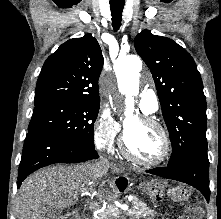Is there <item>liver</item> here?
Instances as JSON below:
<instances>
[{
	"instance_id": "obj_1",
	"label": "liver",
	"mask_w": 221,
	"mask_h": 219,
	"mask_svg": "<svg viewBox=\"0 0 221 219\" xmlns=\"http://www.w3.org/2000/svg\"><path fill=\"white\" fill-rule=\"evenodd\" d=\"M109 168L113 167L87 162L76 166H51L35 172L18 191V219H45L51 209L73 206L80 193L98 182Z\"/></svg>"
}]
</instances>
